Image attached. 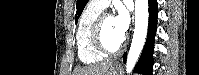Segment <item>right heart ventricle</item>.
Returning a JSON list of instances; mask_svg holds the SVG:
<instances>
[{
  "mask_svg": "<svg viewBox=\"0 0 199 75\" xmlns=\"http://www.w3.org/2000/svg\"><path fill=\"white\" fill-rule=\"evenodd\" d=\"M101 12L102 9L89 4L78 21L76 45L79 60L84 64H96L103 59V55L95 50L91 41L92 27Z\"/></svg>",
  "mask_w": 199,
  "mask_h": 75,
  "instance_id": "right-heart-ventricle-1",
  "label": "right heart ventricle"
}]
</instances>
